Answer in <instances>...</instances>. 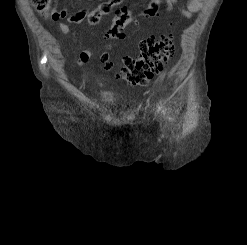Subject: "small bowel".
<instances>
[{
	"instance_id": "1",
	"label": "small bowel",
	"mask_w": 247,
	"mask_h": 245,
	"mask_svg": "<svg viewBox=\"0 0 247 245\" xmlns=\"http://www.w3.org/2000/svg\"><path fill=\"white\" fill-rule=\"evenodd\" d=\"M161 2L166 4V11L170 12L178 3V0H151L146 9L142 12V16L144 17H153L157 14L158 8ZM204 5V0H188L186 8L181 9V13L186 18H191L195 13L200 11ZM89 11L87 9L80 10L76 13L69 14L66 9L58 10L54 8L52 10V18L58 23V28L63 34H69L70 29L69 26L62 22V20H67L72 24H80L88 15ZM133 15L127 8H122L116 12L113 24L111 26V30H115L117 32V39L124 38V28L126 24L132 21ZM91 57V51L84 50L80 53L78 58L79 64L86 63Z\"/></svg>"
}]
</instances>
